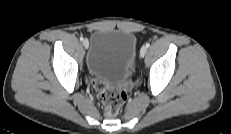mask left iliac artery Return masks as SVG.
I'll list each match as a JSON object with an SVG mask.
<instances>
[{"label": "left iliac artery", "mask_w": 231, "mask_h": 134, "mask_svg": "<svg viewBox=\"0 0 231 134\" xmlns=\"http://www.w3.org/2000/svg\"><path fill=\"white\" fill-rule=\"evenodd\" d=\"M150 46V43H146V47L148 48Z\"/></svg>", "instance_id": "1"}]
</instances>
